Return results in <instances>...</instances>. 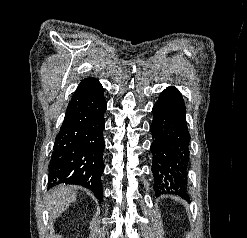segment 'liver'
I'll return each instance as SVG.
<instances>
[{
  "mask_svg": "<svg viewBox=\"0 0 247 238\" xmlns=\"http://www.w3.org/2000/svg\"><path fill=\"white\" fill-rule=\"evenodd\" d=\"M77 194L72 187L60 185L51 190L47 201L50 219H56L76 201Z\"/></svg>",
  "mask_w": 247,
  "mask_h": 238,
  "instance_id": "obj_1",
  "label": "liver"
}]
</instances>
